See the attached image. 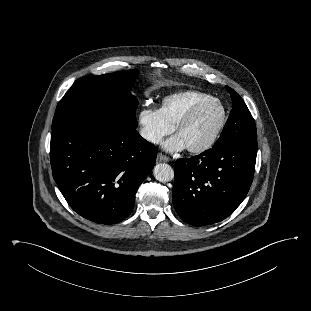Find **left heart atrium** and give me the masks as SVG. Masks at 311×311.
Instances as JSON below:
<instances>
[{
    "instance_id": "left-heart-atrium-1",
    "label": "left heart atrium",
    "mask_w": 311,
    "mask_h": 311,
    "mask_svg": "<svg viewBox=\"0 0 311 311\" xmlns=\"http://www.w3.org/2000/svg\"><path fill=\"white\" fill-rule=\"evenodd\" d=\"M163 148L169 152H177L186 148V144L182 138L177 134L163 143Z\"/></svg>"
}]
</instances>
